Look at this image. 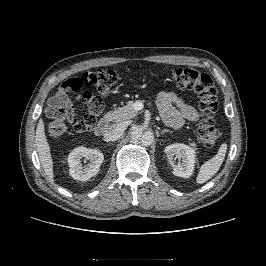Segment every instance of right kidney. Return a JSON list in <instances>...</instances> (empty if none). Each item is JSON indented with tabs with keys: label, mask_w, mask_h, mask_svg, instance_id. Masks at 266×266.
<instances>
[{
	"label": "right kidney",
	"mask_w": 266,
	"mask_h": 266,
	"mask_svg": "<svg viewBox=\"0 0 266 266\" xmlns=\"http://www.w3.org/2000/svg\"><path fill=\"white\" fill-rule=\"evenodd\" d=\"M82 158L90 160V163L83 167ZM103 160L104 155L101 151L78 147L68 155L69 173L75 180L87 181L98 173Z\"/></svg>",
	"instance_id": "right-kidney-1"
}]
</instances>
